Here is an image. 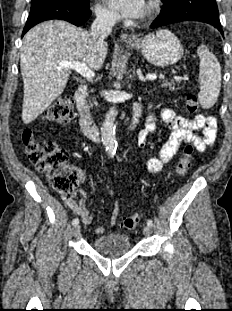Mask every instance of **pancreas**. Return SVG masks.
<instances>
[{
  "label": "pancreas",
  "mask_w": 232,
  "mask_h": 311,
  "mask_svg": "<svg viewBox=\"0 0 232 311\" xmlns=\"http://www.w3.org/2000/svg\"><path fill=\"white\" fill-rule=\"evenodd\" d=\"M159 79H160V81L162 82V84H161L162 87H168L170 91H173V90L176 89V88H175V83H174L173 81L169 82L167 79H165V76H164V75L161 74V75L159 76ZM177 82L179 83V81H177ZM94 104L97 105V102L94 101Z\"/></svg>",
  "instance_id": "obj_1"
}]
</instances>
